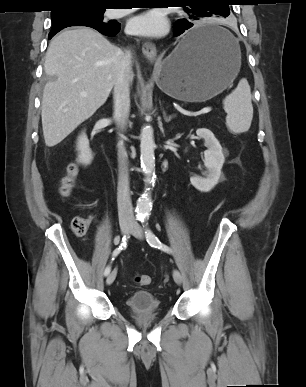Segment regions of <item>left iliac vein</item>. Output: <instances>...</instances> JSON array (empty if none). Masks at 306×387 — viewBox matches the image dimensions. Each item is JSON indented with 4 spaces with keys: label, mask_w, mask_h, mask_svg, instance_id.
I'll use <instances>...</instances> for the list:
<instances>
[{
    "label": "left iliac vein",
    "mask_w": 306,
    "mask_h": 387,
    "mask_svg": "<svg viewBox=\"0 0 306 387\" xmlns=\"http://www.w3.org/2000/svg\"><path fill=\"white\" fill-rule=\"evenodd\" d=\"M131 234L139 239H142L144 236V231L142 227L138 223H133L132 228L130 230ZM173 279L176 284L181 285L182 283V275L178 270L173 271Z\"/></svg>",
    "instance_id": "4c4485c4"
}]
</instances>
